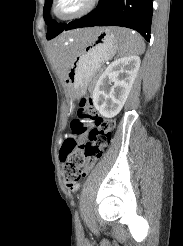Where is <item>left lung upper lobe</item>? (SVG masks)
Here are the masks:
<instances>
[{"label": "left lung upper lobe", "mask_w": 183, "mask_h": 246, "mask_svg": "<svg viewBox=\"0 0 183 246\" xmlns=\"http://www.w3.org/2000/svg\"><path fill=\"white\" fill-rule=\"evenodd\" d=\"M52 1L53 0H45L44 10H43L44 20L46 24L48 25L47 34H46V38L48 40L56 37L67 26V24L57 23L55 20H52L50 18L49 13H50V7L52 5Z\"/></svg>", "instance_id": "5c2ea615"}]
</instances>
